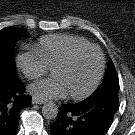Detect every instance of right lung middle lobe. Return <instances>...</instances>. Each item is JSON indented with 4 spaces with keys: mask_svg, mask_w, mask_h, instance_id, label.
<instances>
[{
    "mask_svg": "<svg viewBox=\"0 0 135 135\" xmlns=\"http://www.w3.org/2000/svg\"><path fill=\"white\" fill-rule=\"evenodd\" d=\"M27 32L17 27H7L0 30V82L18 79L14 61L16 42Z\"/></svg>",
    "mask_w": 135,
    "mask_h": 135,
    "instance_id": "1",
    "label": "right lung middle lobe"
}]
</instances>
